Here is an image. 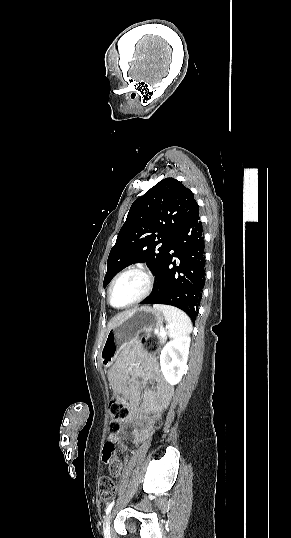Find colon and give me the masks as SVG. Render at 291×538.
<instances>
[{"mask_svg":"<svg viewBox=\"0 0 291 538\" xmlns=\"http://www.w3.org/2000/svg\"><path fill=\"white\" fill-rule=\"evenodd\" d=\"M143 347L152 355H157L160 352V341L153 335L145 334L141 338ZM130 403L120 395H114L109 401L110 412V429L113 432H118L123 427L125 420L129 414ZM103 460L108 465L115 464V446L111 442H106L103 447ZM99 495L102 498L108 499L115 492V484L110 475H101L98 481Z\"/></svg>","mask_w":291,"mask_h":538,"instance_id":"1","label":"colon"}]
</instances>
